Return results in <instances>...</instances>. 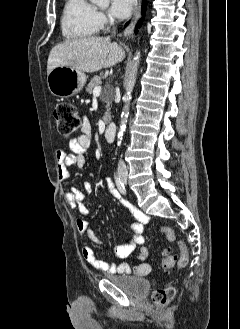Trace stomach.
Segmentation results:
<instances>
[{
	"label": "stomach",
	"instance_id": "0dacf381",
	"mask_svg": "<svg viewBox=\"0 0 240 329\" xmlns=\"http://www.w3.org/2000/svg\"><path fill=\"white\" fill-rule=\"evenodd\" d=\"M86 82L84 72L68 66H57L47 76V84L52 95L70 97L82 90Z\"/></svg>",
	"mask_w": 240,
	"mask_h": 329
}]
</instances>
